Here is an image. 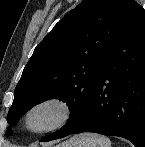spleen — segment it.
<instances>
[{
  "instance_id": "spleen-1",
  "label": "spleen",
  "mask_w": 145,
  "mask_h": 147,
  "mask_svg": "<svg viewBox=\"0 0 145 147\" xmlns=\"http://www.w3.org/2000/svg\"><path fill=\"white\" fill-rule=\"evenodd\" d=\"M69 147H111L108 137L94 133H83L74 137Z\"/></svg>"
}]
</instances>
